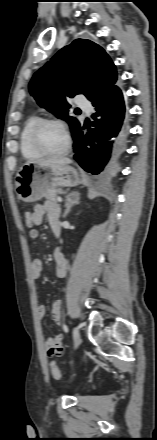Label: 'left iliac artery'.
I'll list each match as a JSON object with an SVG mask.
<instances>
[{
	"label": "left iliac artery",
	"mask_w": 157,
	"mask_h": 440,
	"mask_svg": "<svg viewBox=\"0 0 157 440\" xmlns=\"http://www.w3.org/2000/svg\"><path fill=\"white\" fill-rule=\"evenodd\" d=\"M64 329L67 331L68 330V328H67V326L66 325H64Z\"/></svg>",
	"instance_id": "44dca946"
}]
</instances>
